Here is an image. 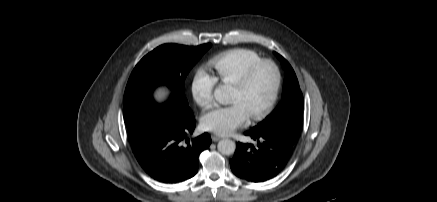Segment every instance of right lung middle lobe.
<instances>
[{
	"mask_svg": "<svg viewBox=\"0 0 437 202\" xmlns=\"http://www.w3.org/2000/svg\"><path fill=\"white\" fill-rule=\"evenodd\" d=\"M210 47L211 44L197 47L164 44L140 60L130 75L124 93V121L131 143L148 134L152 120L159 114L193 116L184 93V81ZM161 85L169 88L171 96L166 103L157 104L152 93Z\"/></svg>",
	"mask_w": 437,
	"mask_h": 202,
	"instance_id": "dd1d6c3e",
	"label": "right lung middle lobe"
}]
</instances>
